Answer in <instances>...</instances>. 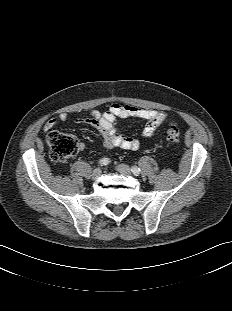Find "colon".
I'll list each match as a JSON object with an SVG mask.
<instances>
[{"label":"colon","instance_id":"obj_1","mask_svg":"<svg viewBox=\"0 0 232 311\" xmlns=\"http://www.w3.org/2000/svg\"><path fill=\"white\" fill-rule=\"evenodd\" d=\"M167 137L171 142L180 138V129L176 125L167 127ZM47 142L51 150V157L56 162H64L73 157L77 151L76 138L67 133L51 131L47 135Z\"/></svg>","mask_w":232,"mask_h":311}]
</instances>
